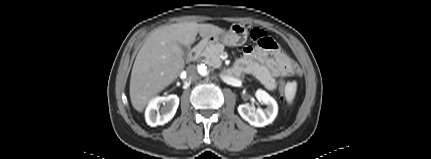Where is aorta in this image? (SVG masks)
Wrapping results in <instances>:
<instances>
[{
  "label": "aorta",
  "mask_w": 431,
  "mask_h": 159,
  "mask_svg": "<svg viewBox=\"0 0 431 159\" xmlns=\"http://www.w3.org/2000/svg\"><path fill=\"white\" fill-rule=\"evenodd\" d=\"M197 69L199 70V73L203 78L210 79L212 77V72H211L209 66L204 65L203 63H200L197 66Z\"/></svg>",
  "instance_id": "762f6f07"
}]
</instances>
